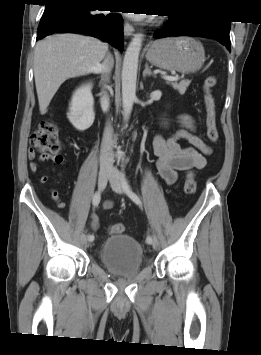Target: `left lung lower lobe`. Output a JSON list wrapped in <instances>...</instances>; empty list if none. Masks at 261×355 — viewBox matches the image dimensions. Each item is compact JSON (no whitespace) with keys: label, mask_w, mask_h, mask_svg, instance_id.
<instances>
[{"label":"left lung lower lobe","mask_w":261,"mask_h":355,"mask_svg":"<svg viewBox=\"0 0 261 355\" xmlns=\"http://www.w3.org/2000/svg\"><path fill=\"white\" fill-rule=\"evenodd\" d=\"M169 21L155 33L154 37L199 36L210 38L225 45L230 51V21L170 15Z\"/></svg>","instance_id":"1"}]
</instances>
